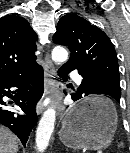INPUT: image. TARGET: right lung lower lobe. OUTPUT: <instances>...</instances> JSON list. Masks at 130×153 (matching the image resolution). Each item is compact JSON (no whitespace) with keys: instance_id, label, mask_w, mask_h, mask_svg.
<instances>
[{"instance_id":"98d812e1","label":"right lung lower lobe","mask_w":130,"mask_h":153,"mask_svg":"<svg viewBox=\"0 0 130 153\" xmlns=\"http://www.w3.org/2000/svg\"><path fill=\"white\" fill-rule=\"evenodd\" d=\"M44 73L41 66L26 75H18L0 79V124L12 130L25 146L28 136L37 122L35 105L44 91ZM10 88H18L11 92ZM4 96L14 99L26 115H16L8 110L2 100Z\"/></svg>"}]
</instances>
